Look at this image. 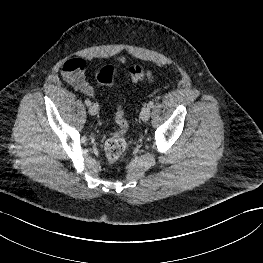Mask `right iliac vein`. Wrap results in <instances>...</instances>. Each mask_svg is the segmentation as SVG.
<instances>
[{"mask_svg":"<svg viewBox=\"0 0 263 263\" xmlns=\"http://www.w3.org/2000/svg\"><path fill=\"white\" fill-rule=\"evenodd\" d=\"M98 112V105L96 103H93L92 105H90L89 107V113L91 115H96Z\"/></svg>","mask_w":263,"mask_h":263,"instance_id":"obj_1","label":"right iliac vein"}]
</instances>
